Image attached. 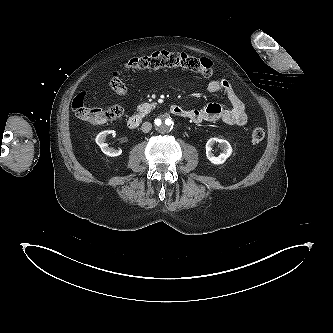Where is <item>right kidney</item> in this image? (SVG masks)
Here are the masks:
<instances>
[{
    "label": "right kidney",
    "mask_w": 333,
    "mask_h": 333,
    "mask_svg": "<svg viewBox=\"0 0 333 333\" xmlns=\"http://www.w3.org/2000/svg\"><path fill=\"white\" fill-rule=\"evenodd\" d=\"M107 134L115 135L114 130L103 131L96 136V143L100 146L102 152L108 156L115 157L119 156L122 153V150H112L108 147V144L104 142Z\"/></svg>",
    "instance_id": "1"
}]
</instances>
